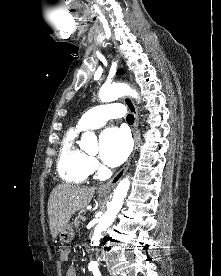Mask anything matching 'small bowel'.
<instances>
[{
	"instance_id": "obj_1",
	"label": "small bowel",
	"mask_w": 221,
	"mask_h": 276,
	"mask_svg": "<svg viewBox=\"0 0 221 276\" xmlns=\"http://www.w3.org/2000/svg\"><path fill=\"white\" fill-rule=\"evenodd\" d=\"M69 256H70V251L67 250V251H64L60 257H61V260L62 261H67L69 259ZM65 276H77V271L75 268L73 267H70L66 270V273H65Z\"/></svg>"
}]
</instances>
